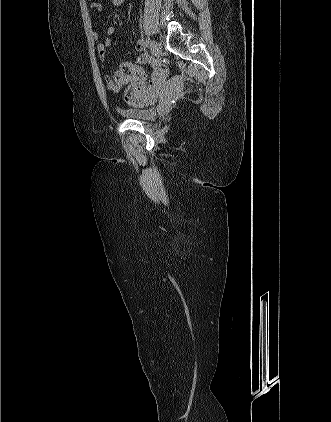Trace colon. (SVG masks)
<instances>
[{"mask_svg": "<svg viewBox=\"0 0 331 422\" xmlns=\"http://www.w3.org/2000/svg\"><path fill=\"white\" fill-rule=\"evenodd\" d=\"M168 72V69L164 66H161L155 70L157 76L163 77ZM145 77V72L138 65L130 62L122 63L115 73L111 76V80L114 84H126L131 83L130 86L125 91V98L128 101L138 102L143 101L148 103L149 100L147 97L139 94L138 90L134 88L132 83L134 81L141 80Z\"/></svg>", "mask_w": 331, "mask_h": 422, "instance_id": "5ec220e1", "label": "colon"}]
</instances>
